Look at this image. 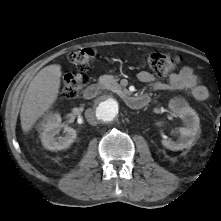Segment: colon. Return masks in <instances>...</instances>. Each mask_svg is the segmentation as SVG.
Segmentation results:
<instances>
[{"mask_svg": "<svg viewBox=\"0 0 221 221\" xmlns=\"http://www.w3.org/2000/svg\"><path fill=\"white\" fill-rule=\"evenodd\" d=\"M94 58V50L91 48H83L75 51L71 55V61L79 71H85L89 68ZM143 63L157 77H164L174 71L180 64L181 59L178 56H172L165 53H149L143 55ZM87 77L83 74H68L63 80V94L67 98L78 96L85 85ZM221 107V97L219 100ZM221 121V115H220Z\"/></svg>", "mask_w": 221, "mask_h": 221, "instance_id": "1", "label": "colon"}]
</instances>
